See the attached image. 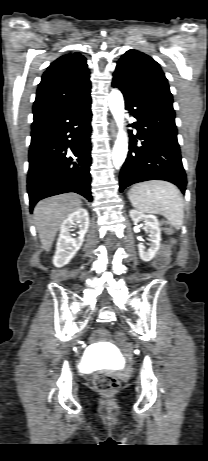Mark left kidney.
<instances>
[{"instance_id":"obj_1","label":"left kidney","mask_w":208,"mask_h":461,"mask_svg":"<svg viewBox=\"0 0 208 461\" xmlns=\"http://www.w3.org/2000/svg\"><path fill=\"white\" fill-rule=\"evenodd\" d=\"M129 216L134 223H138L141 219L144 220L146 229L150 233V248L145 250L143 244H138L139 256L140 258L145 261H151L154 256L156 255L157 251L160 248V241H161V232L159 228V222L155 215L152 214H144L137 210H130Z\"/></svg>"}]
</instances>
